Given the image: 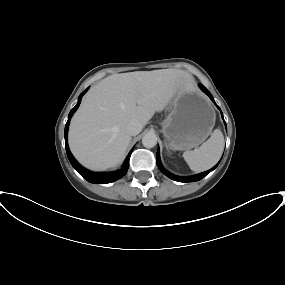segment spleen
<instances>
[{
    "instance_id": "3e777b00",
    "label": "spleen",
    "mask_w": 285,
    "mask_h": 285,
    "mask_svg": "<svg viewBox=\"0 0 285 285\" xmlns=\"http://www.w3.org/2000/svg\"><path fill=\"white\" fill-rule=\"evenodd\" d=\"M224 136L219 129H215L211 137L199 148L185 151L183 158L194 172H202L213 167L222 155Z\"/></svg>"
}]
</instances>
